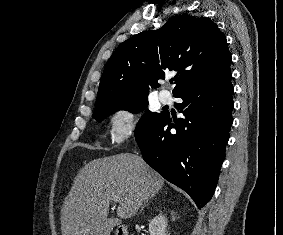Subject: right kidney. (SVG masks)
<instances>
[{"mask_svg":"<svg viewBox=\"0 0 283 235\" xmlns=\"http://www.w3.org/2000/svg\"><path fill=\"white\" fill-rule=\"evenodd\" d=\"M167 220L164 216L158 215L149 223L150 235H166Z\"/></svg>","mask_w":283,"mask_h":235,"instance_id":"obj_1","label":"right kidney"}]
</instances>
